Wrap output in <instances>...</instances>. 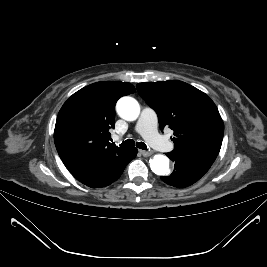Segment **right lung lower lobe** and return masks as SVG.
<instances>
[{
	"instance_id": "obj_1",
	"label": "right lung lower lobe",
	"mask_w": 267,
	"mask_h": 267,
	"mask_svg": "<svg viewBox=\"0 0 267 267\" xmlns=\"http://www.w3.org/2000/svg\"><path fill=\"white\" fill-rule=\"evenodd\" d=\"M136 155L137 149L129 148L124 155L104 165L96 174L82 183L91 188H100L112 184L121 176L126 165L134 159Z\"/></svg>"
}]
</instances>
